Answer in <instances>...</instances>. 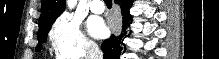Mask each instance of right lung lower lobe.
Here are the masks:
<instances>
[{"label": "right lung lower lobe", "instance_id": "obj_1", "mask_svg": "<svg viewBox=\"0 0 219 59\" xmlns=\"http://www.w3.org/2000/svg\"><path fill=\"white\" fill-rule=\"evenodd\" d=\"M119 4L121 13L123 16L122 32L119 36L112 35L109 39L102 43L101 49L104 53V59H119L122 51H125V45L122 42L123 38L127 37L130 23L132 21V15L130 14V8L132 6V0H114Z\"/></svg>", "mask_w": 219, "mask_h": 59}]
</instances>
